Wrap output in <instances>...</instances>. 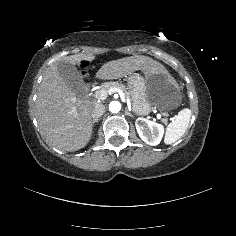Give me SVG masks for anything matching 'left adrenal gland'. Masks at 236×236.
<instances>
[{
	"label": "left adrenal gland",
	"instance_id": "left-adrenal-gland-1",
	"mask_svg": "<svg viewBox=\"0 0 236 236\" xmlns=\"http://www.w3.org/2000/svg\"><path fill=\"white\" fill-rule=\"evenodd\" d=\"M125 114L130 116V117H133V115L127 110V108L125 109Z\"/></svg>",
	"mask_w": 236,
	"mask_h": 236
}]
</instances>
